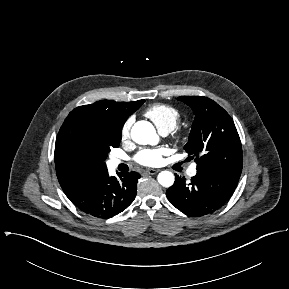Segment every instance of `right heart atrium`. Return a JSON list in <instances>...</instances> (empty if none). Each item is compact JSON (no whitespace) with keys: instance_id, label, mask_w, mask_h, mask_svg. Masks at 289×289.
<instances>
[{"instance_id":"right-heart-atrium-1","label":"right heart atrium","mask_w":289,"mask_h":289,"mask_svg":"<svg viewBox=\"0 0 289 289\" xmlns=\"http://www.w3.org/2000/svg\"><path fill=\"white\" fill-rule=\"evenodd\" d=\"M133 125V117H129L121 127V138L127 140L130 138L131 128Z\"/></svg>"}]
</instances>
